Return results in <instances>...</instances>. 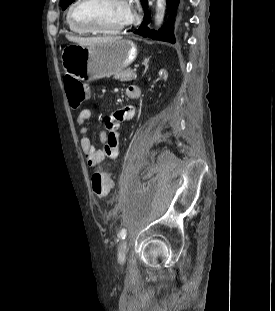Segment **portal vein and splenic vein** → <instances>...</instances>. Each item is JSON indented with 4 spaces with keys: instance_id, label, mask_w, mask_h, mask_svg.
<instances>
[{
    "instance_id": "portal-vein-and-splenic-vein-1",
    "label": "portal vein and splenic vein",
    "mask_w": 275,
    "mask_h": 311,
    "mask_svg": "<svg viewBox=\"0 0 275 311\" xmlns=\"http://www.w3.org/2000/svg\"><path fill=\"white\" fill-rule=\"evenodd\" d=\"M133 71H134V73H136V71H137V68H134V69H133Z\"/></svg>"
}]
</instances>
